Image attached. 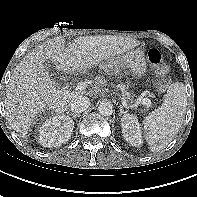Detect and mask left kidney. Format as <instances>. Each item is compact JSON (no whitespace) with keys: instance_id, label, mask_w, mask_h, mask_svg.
Wrapping results in <instances>:
<instances>
[{"instance_id":"left-kidney-1","label":"left kidney","mask_w":197,"mask_h":197,"mask_svg":"<svg viewBox=\"0 0 197 197\" xmlns=\"http://www.w3.org/2000/svg\"><path fill=\"white\" fill-rule=\"evenodd\" d=\"M122 133L124 139L132 146L142 144V135L137 117L132 114H126L121 118Z\"/></svg>"}]
</instances>
